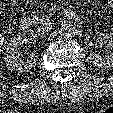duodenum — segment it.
Returning <instances> with one entry per match:
<instances>
[{"instance_id": "obj_1", "label": "duodenum", "mask_w": 113, "mask_h": 113, "mask_svg": "<svg viewBox=\"0 0 113 113\" xmlns=\"http://www.w3.org/2000/svg\"><path fill=\"white\" fill-rule=\"evenodd\" d=\"M62 17L69 20L80 21L81 18L72 9L66 8L62 12ZM22 30H27L31 26V18L29 16H24L20 20L19 24Z\"/></svg>"}]
</instances>
